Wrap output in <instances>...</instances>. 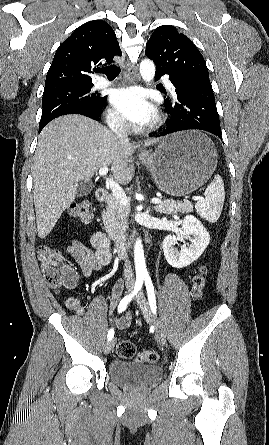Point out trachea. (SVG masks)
<instances>
[{"label":"trachea","mask_w":269,"mask_h":445,"mask_svg":"<svg viewBox=\"0 0 269 445\" xmlns=\"http://www.w3.org/2000/svg\"><path fill=\"white\" fill-rule=\"evenodd\" d=\"M120 71L121 70H120L119 67H117L115 65H112V66H109V67H106V68L99 69L98 72L106 74V76L108 78H115V77H117L119 75Z\"/></svg>","instance_id":"obj_1"}]
</instances>
